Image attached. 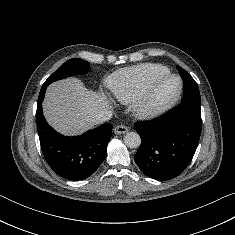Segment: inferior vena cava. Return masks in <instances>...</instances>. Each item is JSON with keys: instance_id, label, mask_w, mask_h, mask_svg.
Instances as JSON below:
<instances>
[{"instance_id": "inferior-vena-cava-1", "label": "inferior vena cava", "mask_w": 235, "mask_h": 235, "mask_svg": "<svg viewBox=\"0 0 235 235\" xmlns=\"http://www.w3.org/2000/svg\"><path fill=\"white\" fill-rule=\"evenodd\" d=\"M112 117V111L108 109L102 110L96 117V123H103L110 120Z\"/></svg>"}]
</instances>
